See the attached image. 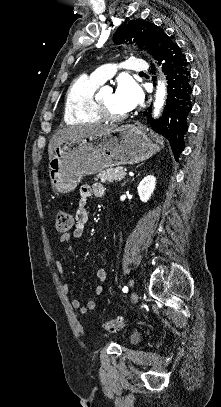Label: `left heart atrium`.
I'll use <instances>...</instances> for the list:
<instances>
[{"instance_id":"obj_1","label":"left heart atrium","mask_w":221,"mask_h":407,"mask_svg":"<svg viewBox=\"0 0 221 407\" xmlns=\"http://www.w3.org/2000/svg\"><path fill=\"white\" fill-rule=\"evenodd\" d=\"M115 94L121 106L127 111L137 107L143 100L142 89L128 76L119 78Z\"/></svg>"}]
</instances>
